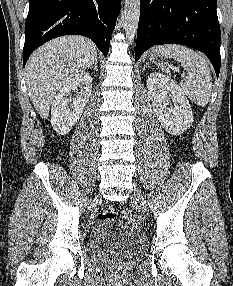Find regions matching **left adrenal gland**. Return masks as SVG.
Here are the masks:
<instances>
[{"mask_svg": "<svg viewBox=\"0 0 233 286\" xmlns=\"http://www.w3.org/2000/svg\"><path fill=\"white\" fill-rule=\"evenodd\" d=\"M145 68H149V64H148V63H146V64L144 65L143 71L145 70Z\"/></svg>", "mask_w": 233, "mask_h": 286, "instance_id": "a2214340", "label": "left adrenal gland"}]
</instances>
